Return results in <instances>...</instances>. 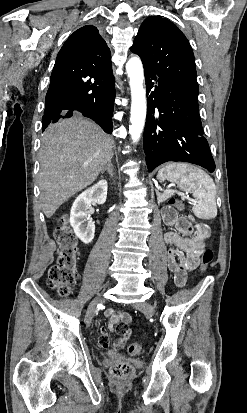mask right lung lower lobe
Listing matches in <instances>:
<instances>
[{
	"label": "right lung lower lobe",
	"instance_id": "98d812e1",
	"mask_svg": "<svg viewBox=\"0 0 247 413\" xmlns=\"http://www.w3.org/2000/svg\"><path fill=\"white\" fill-rule=\"evenodd\" d=\"M114 97L112 69L95 74L53 70L45 99L42 131L50 123L79 112L111 134Z\"/></svg>",
	"mask_w": 247,
	"mask_h": 413
}]
</instances>
